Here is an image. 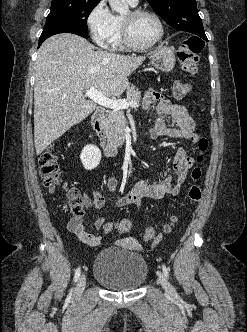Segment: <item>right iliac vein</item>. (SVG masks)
I'll list each match as a JSON object with an SVG mask.
<instances>
[{
	"label": "right iliac vein",
	"mask_w": 247,
	"mask_h": 332,
	"mask_svg": "<svg viewBox=\"0 0 247 332\" xmlns=\"http://www.w3.org/2000/svg\"><path fill=\"white\" fill-rule=\"evenodd\" d=\"M86 286V276L85 274H82L78 280V283L76 285L75 293L80 294L83 292Z\"/></svg>",
	"instance_id": "1"
}]
</instances>
